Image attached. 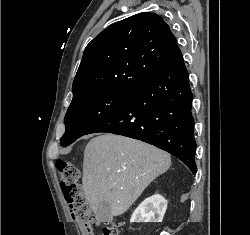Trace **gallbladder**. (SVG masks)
Wrapping results in <instances>:
<instances>
[{
  "label": "gallbladder",
  "mask_w": 250,
  "mask_h": 235,
  "mask_svg": "<svg viewBox=\"0 0 250 235\" xmlns=\"http://www.w3.org/2000/svg\"><path fill=\"white\" fill-rule=\"evenodd\" d=\"M98 220L99 222L109 223L113 219L111 213V206L108 202L103 201L98 208Z\"/></svg>",
  "instance_id": "1"
}]
</instances>
